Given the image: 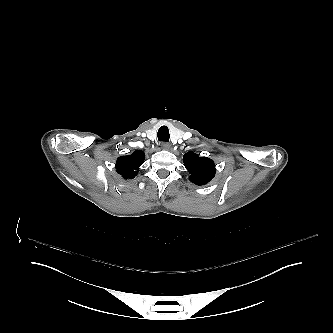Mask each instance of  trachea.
Returning a JSON list of instances; mask_svg holds the SVG:
<instances>
[{"label":"trachea","instance_id":"3493384b","mask_svg":"<svg viewBox=\"0 0 333 333\" xmlns=\"http://www.w3.org/2000/svg\"><path fill=\"white\" fill-rule=\"evenodd\" d=\"M158 140L162 142L169 141V130L167 126H161L157 133Z\"/></svg>","mask_w":333,"mask_h":333}]
</instances>
